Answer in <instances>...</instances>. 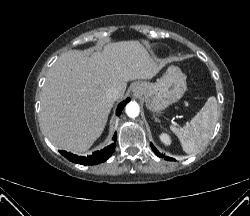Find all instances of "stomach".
<instances>
[{"label": "stomach", "mask_w": 250, "mask_h": 216, "mask_svg": "<svg viewBox=\"0 0 250 216\" xmlns=\"http://www.w3.org/2000/svg\"><path fill=\"white\" fill-rule=\"evenodd\" d=\"M186 89V76L179 67L170 66L156 83H136L134 93L145 100L149 110L161 111L180 100Z\"/></svg>", "instance_id": "1"}]
</instances>
